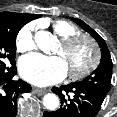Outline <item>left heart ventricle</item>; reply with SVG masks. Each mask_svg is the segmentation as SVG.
<instances>
[{"label":"left heart ventricle","instance_id":"1","mask_svg":"<svg viewBox=\"0 0 117 117\" xmlns=\"http://www.w3.org/2000/svg\"><path fill=\"white\" fill-rule=\"evenodd\" d=\"M57 54L64 60L68 70H79L91 59V50L87 43L79 44L69 53H65L60 46Z\"/></svg>","mask_w":117,"mask_h":117}]
</instances>
